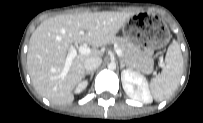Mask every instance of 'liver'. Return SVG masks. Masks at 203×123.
Instances as JSON below:
<instances>
[{
	"instance_id": "1",
	"label": "liver",
	"mask_w": 203,
	"mask_h": 123,
	"mask_svg": "<svg viewBox=\"0 0 203 123\" xmlns=\"http://www.w3.org/2000/svg\"><path fill=\"white\" fill-rule=\"evenodd\" d=\"M135 12H96L57 15L44 20L33 32L27 69L35 90L55 105L71 103L73 89L85 75L86 59L100 57L99 47L110 43ZM89 44V54H77L64 71L69 47Z\"/></svg>"
}]
</instances>
